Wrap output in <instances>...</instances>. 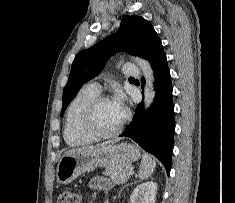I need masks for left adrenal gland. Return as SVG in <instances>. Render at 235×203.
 Returning <instances> with one entry per match:
<instances>
[{
  "label": "left adrenal gland",
  "mask_w": 235,
  "mask_h": 203,
  "mask_svg": "<svg viewBox=\"0 0 235 203\" xmlns=\"http://www.w3.org/2000/svg\"><path fill=\"white\" fill-rule=\"evenodd\" d=\"M131 184H133V183H129V184L125 185L123 188H121V190H120V192H119V194H118V197H120V194H121L122 190H123L125 187H127V186H129V185H131Z\"/></svg>",
  "instance_id": "obj_1"
}]
</instances>
